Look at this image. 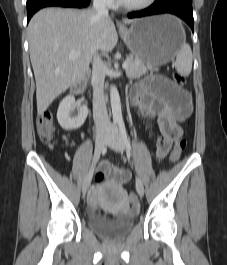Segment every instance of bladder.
<instances>
[{"label":"bladder","mask_w":227,"mask_h":265,"mask_svg":"<svg viewBox=\"0 0 227 265\" xmlns=\"http://www.w3.org/2000/svg\"><path fill=\"white\" fill-rule=\"evenodd\" d=\"M89 227L100 237L108 240H120L127 236L134 226V216L111 219L99 214L88 216Z\"/></svg>","instance_id":"bladder-1"}]
</instances>
